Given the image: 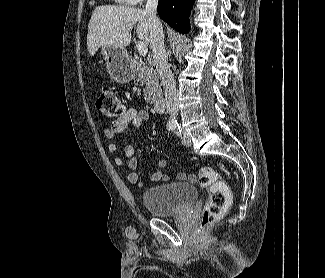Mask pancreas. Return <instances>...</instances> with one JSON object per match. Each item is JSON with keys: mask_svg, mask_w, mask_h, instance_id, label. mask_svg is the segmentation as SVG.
<instances>
[{"mask_svg": "<svg viewBox=\"0 0 325 278\" xmlns=\"http://www.w3.org/2000/svg\"><path fill=\"white\" fill-rule=\"evenodd\" d=\"M136 79L144 85V99L147 103L154 102L162 93L159 78L153 67L142 63L138 66Z\"/></svg>", "mask_w": 325, "mask_h": 278, "instance_id": "pancreas-1", "label": "pancreas"}]
</instances>
